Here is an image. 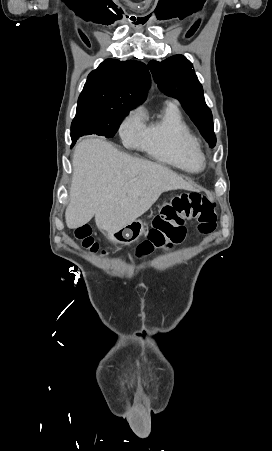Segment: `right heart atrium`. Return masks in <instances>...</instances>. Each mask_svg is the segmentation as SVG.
<instances>
[{"instance_id": "right-heart-atrium-1", "label": "right heart atrium", "mask_w": 272, "mask_h": 451, "mask_svg": "<svg viewBox=\"0 0 272 451\" xmlns=\"http://www.w3.org/2000/svg\"><path fill=\"white\" fill-rule=\"evenodd\" d=\"M143 114L140 110L133 111L123 122L120 133L124 142L135 143L141 137L143 127Z\"/></svg>"}]
</instances>
